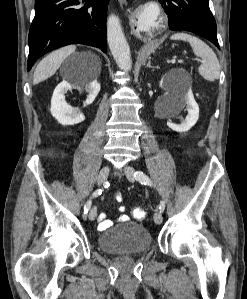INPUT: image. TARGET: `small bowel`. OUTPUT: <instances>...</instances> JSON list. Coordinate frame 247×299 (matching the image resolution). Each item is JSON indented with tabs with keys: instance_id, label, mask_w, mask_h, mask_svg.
Segmentation results:
<instances>
[{
	"instance_id": "obj_1",
	"label": "small bowel",
	"mask_w": 247,
	"mask_h": 299,
	"mask_svg": "<svg viewBox=\"0 0 247 299\" xmlns=\"http://www.w3.org/2000/svg\"><path fill=\"white\" fill-rule=\"evenodd\" d=\"M114 199L117 202H121L122 201V196H120L118 193H116L114 195ZM118 210L120 212H124L125 207L124 206H119ZM119 220L120 221H126V220H128V217L126 215L122 214V215H120ZM112 224H113V221L110 220V219H107L105 213H100L99 214V216H98V229L100 231H103V230L109 228L110 226H112Z\"/></svg>"
}]
</instances>
